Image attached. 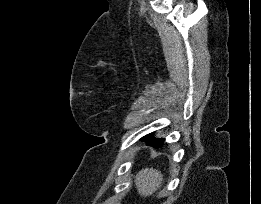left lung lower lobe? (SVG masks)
Listing matches in <instances>:
<instances>
[{
	"instance_id": "obj_1",
	"label": "left lung lower lobe",
	"mask_w": 261,
	"mask_h": 204,
	"mask_svg": "<svg viewBox=\"0 0 261 204\" xmlns=\"http://www.w3.org/2000/svg\"><path fill=\"white\" fill-rule=\"evenodd\" d=\"M152 139H153V138H152ZM160 141H161V139H157V140H155V141H154V139H153V141H149L148 144L154 145V146H159V145H160Z\"/></svg>"
}]
</instances>
